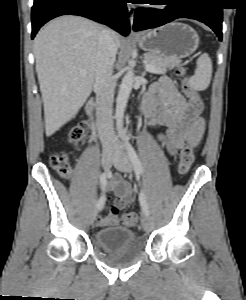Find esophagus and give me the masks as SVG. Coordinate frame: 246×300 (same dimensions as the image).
I'll return each mask as SVG.
<instances>
[{
    "label": "esophagus",
    "mask_w": 246,
    "mask_h": 300,
    "mask_svg": "<svg viewBox=\"0 0 246 300\" xmlns=\"http://www.w3.org/2000/svg\"><path fill=\"white\" fill-rule=\"evenodd\" d=\"M128 11H129V14H130L129 21H130V26H131V34H133L134 32L132 31V26H133V22H134L135 6L128 5Z\"/></svg>",
    "instance_id": "obj_1"
}]
</instances>
